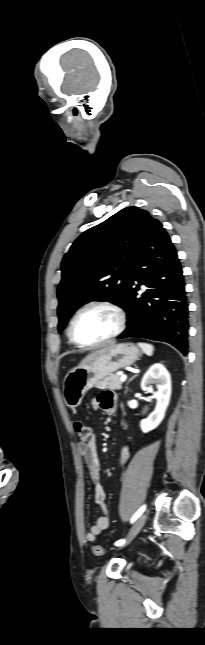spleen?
<instances>
[{"instance_id":"3e777b00","label":"spleen","mask_w":205,"mask_h":645,"mask_svg":"<svg viewBox=\"0 0 205 645\" xmlns=\"http://www.w3.org/2000/svg\"><path fill=\"white\" fill-rule=\"evenodd\" d=\"M139 347L143 350L145 354L148 356L153 355L154 347L151 344L148 343H138Z\"/></svg>"}]
</instances>
